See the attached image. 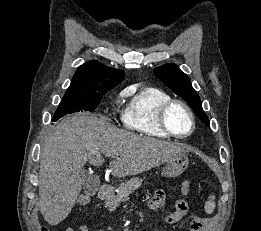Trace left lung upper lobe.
<instances>
[{
	"instance_id": "1",
	"label": "left lung upper lobe",
	"mask_w": 261,
	"mask_h": 231,
	"mask_svg": "<svg viewBox=\"0 0 261 231\" xmlns=\"http://www.w3.org/2000/svg\"><path fill=\"white\" fill-rule=\"evenodd\" d=\"M154 73L173 92L181 96L193 109L198 118L207 126L209 120L202 109L198 93L193 89L189 77L175 64H165L154 69Z\"/></svg>"
}]
</instances>
